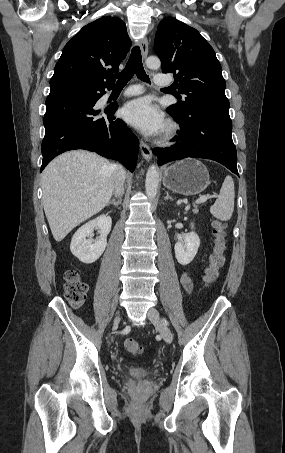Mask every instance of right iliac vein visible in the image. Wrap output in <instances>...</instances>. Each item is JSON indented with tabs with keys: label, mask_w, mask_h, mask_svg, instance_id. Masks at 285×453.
<instances>
[{
	"label": "right iliac vein",
	"mask_w": 285,
	"mask_h": 453,
	"mask_svg": "<svg viewBox=\"0 0 285 453\" xmlns=\"http://www.w3.org/2000/svg\"><path fill=\"white\" fill-rule=\"evenodd\" d=\"M120 316L116 317L115 320H114V326H118L119 322H120Z\"/></svg>",
	"instance_id": "right-iliac-vein-1"
}]
</instances>
